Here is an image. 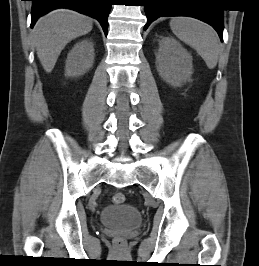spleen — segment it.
<instances>
[{
	"mask_svg": "<svg viewBox=\"0 0 259 266\" xmlns=\"http://www.w3.org/2000/svg\"><path fill=\"white\" fill-rule=\"evenodd\" d=\"M170 28L178 39L196 50L209 69L216 67L219 44L210 25L190 17H173Z\"/></svg>",
	"mask_w": 259,
	"mask_h": 266,
	"instance_id": "spleen-1",
	"label": "spleen"
}]
</instances>
